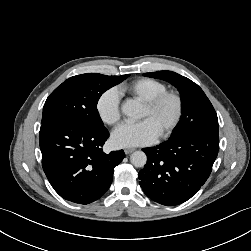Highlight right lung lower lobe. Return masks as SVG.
I'll return each mask as SVG.
<instances>
[{"instance_id": "1", "label": "right lung lower lobe", "mask_w": 251, "mask_h": 251, "mask_svg": "<svg viewBox=\"0 0 251 251\" xmlns=\"http://www.w3.org/2000/svg\"><path fill=\"white\" fill-rule=\"evenodd\" d=\"M108 137L105 127L95 128L70 120L41 125L42 167L62 198L89 204L109 189L114 167L125 154L123 150L104 153L102 146Z\"/></svg>"}]
</instances>
